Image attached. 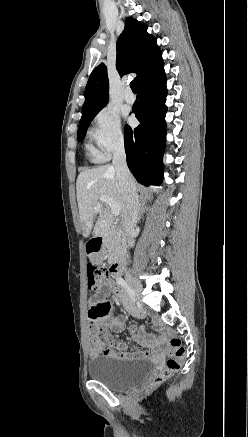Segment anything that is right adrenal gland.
Here are the masks:
<instances>
[{"label":"right adrenal gland","mask_w":248,"mask_h":437,"mask_svg":"<svg viewBox=\"0 0 248 437\" xmlns=\"http://www.w3.org/2000/svg\"><path fill=\"white\" fill-rule=\"evenodd\" d=\"M141 199H142V198H141ZM145 209H146V207H145V202H142V203L140 204V206H139L140 213H139V218H138V220H140L141 216H142L143 213L145 212Z\"/></svg>","instance_id":"right-adrenal-gland-1"}]
</instances>
